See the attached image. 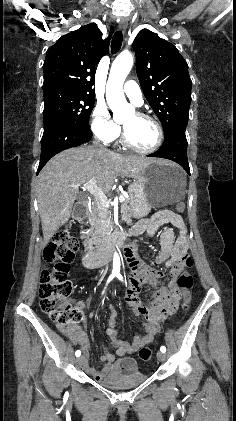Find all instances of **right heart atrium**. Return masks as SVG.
Instances as JSON below:
<instances>
[{
    "label": "right heart atrium",
    "instance_id": "1",
    "mask_svg": "<svg viewBox=\"0 0 236 421\" xmlns=\"http://www.w3.org/2000/svg\"><path fill=\"white\" fill-rule=\"evenodd\" d=\"M90 125L94 136L104 144L113 142L121 133L119 124L113 120L106 105L100 102L91 112Z\"/></svg>",
    "mask_w": 236,
    "mask_h": 421
}]
</instances>
